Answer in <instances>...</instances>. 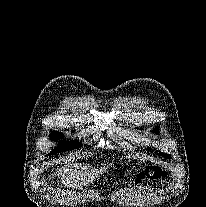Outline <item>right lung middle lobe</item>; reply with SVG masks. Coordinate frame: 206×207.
Instances as JSON below:
<instances>
[{"mask_svg":"<svg viewBox=\"0 0 206 207\" xmlns=\"http://www.w3.org/2000/svg\"><path fill=\"white\" fill-rule=\"evenodd\" d=\"M52 140H57L62 137L61 133L59 132H53L50 135ZM80 147V143L76 141H67L62 142L60 146H58L56 149H54L50 154L57 153V152H63V151H69Z\"/></svg>","mask_w":206,"mask_h":207,"instance_id":"dd1d6c3e","label":"right lung middle lobe"}]
</instances>
